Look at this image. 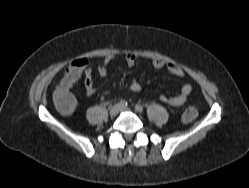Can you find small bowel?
Segmentation results:
<instances>
[{"instance_id": "c3829d8e", "label": "small bowel", "mask_w": 249, "mask_h": 188, "mask_svg": "<svg viewBox=\"0 0 249 188\" xmlns=\"http://www.w3.org/2000/svg\"><path fill=\"white\" fill-rule=\"evenodd\" d=\"M115 57L113 55L106 56L103 64L97 67V73L100 77H105L107 75V66L114 61ZM138 56L134 53H126L123 56L124 64L127 67H132L136 64ZM151 65L156 69L166 68L167 71L176 77H183L184 71L179 66L166 63L159 58H153L151 60ZM85 75V94L90 97L95 92V85L92 80V70L89 68V61L86 58H79L75 60L72 65L67 69L64 77L58 82L56 88H63L70 91L73 85L80 79L82 75ZM130 89L134 92H138L141 89L140 84L137 81H132ZM192 87L190 84H184L181 88V92L175 96L161 95L160 100L170 106L180 107L182 106L189 94L191 93Z\"/></svg>"}]
</instances>
